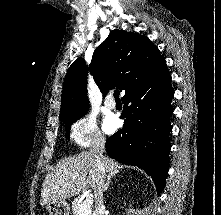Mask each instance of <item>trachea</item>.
<instances>
[{"mask_svg":"<svg viewBox=\"0 0 221 215\" xmlns=\"http://www.w3.org/2000/svg\"><path fill=\"white\" fill-rule=\"evenodd\" d=\"M119 95H120L119 90H115L114 91V97H115L116 100H119Z\"/></svg>","mask_w":221,"mask_h":215,"instance_id":"3493384b","label":"trachea"}]
</instances>
